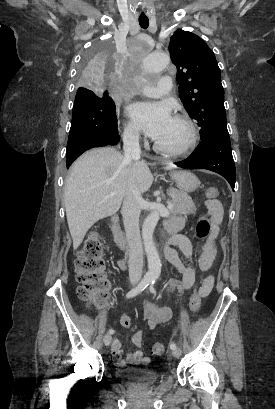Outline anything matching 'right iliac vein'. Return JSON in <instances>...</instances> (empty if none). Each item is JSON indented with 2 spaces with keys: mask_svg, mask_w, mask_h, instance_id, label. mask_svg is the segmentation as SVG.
Listing matches in <instances>:
<instances>
[{
  "mask_svg": "<svg viewBox=\"0 0 275 409\" xmlns=\"http://www.w3.org/2000/svg\"><path fill=\"white\" fill-rule=\"evenodd\" d=\"M112 341V336L111 334L107 333L104 337H103V342L106 346H109L110 343Z\"/></svg>",
  "mask_w": 275,
  "mask_h": 409,
  "instance_id": "63e3f726",
  "label": "right iliac vein"
}]
</instances>
